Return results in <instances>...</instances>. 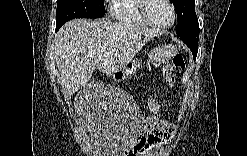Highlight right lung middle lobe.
Segmentation results:
<instances>
[{
  "mask_svg": "<svg viewBox=\"0 0 247 156\" xmlns=\"http://www.w3.org/2000/svg\"><path fill=\"white\" fill-rule=\"evenodd\" d=\"M104 15V0H57L56 28L74 18H100Z\"/></svg>",
  "mask_w": 247,
  "mask_h": 156,
  "instance_id": "obj_1",
  "label": "right lung middle lobe"
}]
</instances>
